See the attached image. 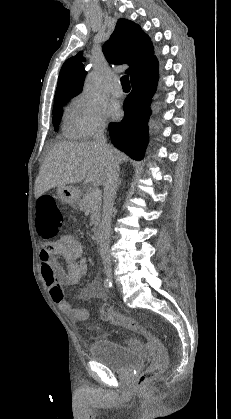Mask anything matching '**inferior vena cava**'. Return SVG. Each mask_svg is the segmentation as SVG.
I'll return each mask as SVG.
<instances>
[{
	"label": "inferior vena cava",
	"instance_id": "inferior-vena-cava-1",
	"mask_svg": "<svg viewBox=\"0 0 231 419\" xmlns=\"http://www.w3.org/2000/svg\"><path fill=\"white\" fill-rule=\"evenodd\" d=\"M105 125H101L94 135V144L109 159V167L104 182V204L102 212V220L99 234V251L105 266L111 265L110 256V233L111 218L114 210V200L116 197L117 187L119 184V164L115 160L113 151L108 148L106 138L104 136Z\"/></svg>",
	"mask_w": 231,
	"mask_h": 419
}]
</instances>
